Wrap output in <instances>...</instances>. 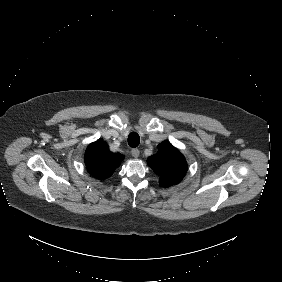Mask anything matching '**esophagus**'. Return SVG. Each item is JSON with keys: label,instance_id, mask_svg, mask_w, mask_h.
<instances>
[{"label": "esophagus", "instance_id": "obj_1", "mask_svg": "<svg viewBox=\"0 0 282 282\" xmlns=\"http://www.w3.org/2000/svg\"><path fill=\"white\" fill-rule=\"evenodd\" d=\"M139 154H140V152H139L138 149L134 148V149L131 150V155H132L134 158H138V157H139Z\"/></svg>", "mask_w": 282, "mask_h": 282}]
</instances>
